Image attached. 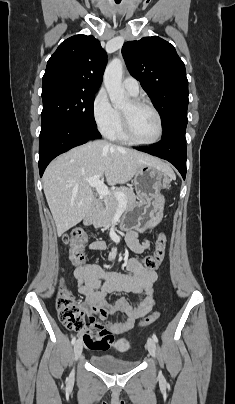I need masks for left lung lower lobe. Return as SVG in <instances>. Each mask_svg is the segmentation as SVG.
I'll list each match as a JSON object with an SVG mask.
<instances>
[{
  "instance_id": "left-lung-lower-lobe-1",
  "label": "left lung lower lobe",
  "mask_w": 235,
  "mask_h": 404,
  "mask_svg": "<svg viewBox=\"0 0 235 404\" xmlns=\"http://www.w3.org/2000/svg\"><path fill=\"white\" fill-rule=\"evenodd\" d=\"M137 150L149 153L172 163L186 177V143L185 133L173 134L162 138L153 147H140Z\"/></svg>"
}]
</instances>
